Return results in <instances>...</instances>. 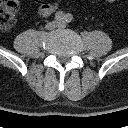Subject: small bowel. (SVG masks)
Instances as JSON below:
<instances>
[{"mask_svg":"<svg viewBox=\"0 0 128 128\" xmlns=\"http://www.w3.org/2000/svg\"><path fill=\"white\" fill-rule=\"evenodd\" d=\"M56 9H57L56 2L41 4L38 8V15L40 17H47L51 15L53 12H55Z\"/></svg>","mask_w":128,"mask_h":128,"instance_id":"obj_1","label":"small bowel"}]
</instances>
